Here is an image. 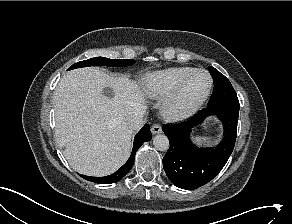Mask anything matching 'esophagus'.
<instances>
[{
	"label": "esophagus",
	"mask_w": 292,
	"mask_h": 224,
	"mask_svg": "<svg viewBox=\"0 0 292 224\" xmlns=\"http://www.w3.org/2000/svg\"><path fill=\"white\" fill-rule=\"evenodd\" d=\"M152 134H159L162 132L161 126L159 124H153L151 127Z\"/></svg>",
	"instance_id": "esophagus-1"
}]
</instances>
